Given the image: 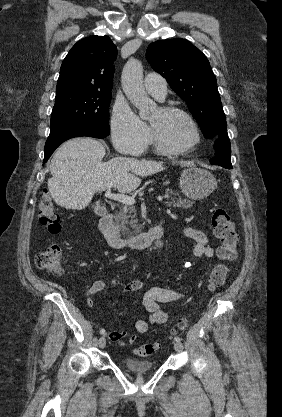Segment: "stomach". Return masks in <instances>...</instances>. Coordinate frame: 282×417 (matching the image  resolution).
I'll use <instances>...</instances> for the list:
<instances>
[{"label":"stomach","instance_id":"obj_1","mask_svg":"<svg viewBox=\"0 0 282 417\" xmlns=\"http://www.w3.org/2000/svg\"><path fill=\"white\" fill-rule=\"evenodd\" d=\"M180 188L181 192H184L188 198L201 200L215 190L216 180L209 170L190 166V168H185L181 172Z\"/></svg>","mask_w":282,"mask_h":417}]
</instances>
